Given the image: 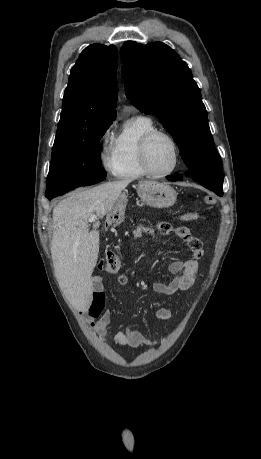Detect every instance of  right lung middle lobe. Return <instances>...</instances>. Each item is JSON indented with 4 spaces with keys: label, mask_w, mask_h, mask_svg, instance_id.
Listing matches in <instances>:
<instances>
[{
    "label": "right lung middle lobe",
    "mask_w": 261,
    "mask_h": 459,
    "mask_svg": "<svg viewBox=\"0 0 261 459\" xmlns=\"http://www.w3.org/2000/svg\"><path fill=\"white\" fill-rule=\"evenodd\" d=\"M111 123H102L78 133L56 138L47 177V198L106 178L101 165L99 141Z\"/></svg>",
    "instance_id": "dd1d6c3e"
}]
</instances>
